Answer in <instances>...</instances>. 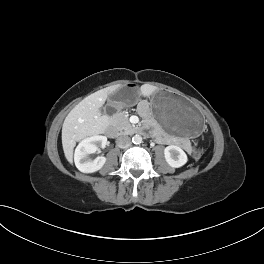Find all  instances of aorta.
<instances>
[{
  "mask_svg": "<svg viewBox=\"0 0 264 264\" xmlns=\"http://www.w3.org/2000/svg\"><path fill=\"white\" fill-rule=\"evenodd\" d=\"M132 142L134 144H140L142 142V137L140 135H135L132 138Z\"/></svg>",
  "mask_w": 264,
  "mask_h": 264,
  "instance_id": "aorta-1",
  "label": "aorta"
}]
</instances>
